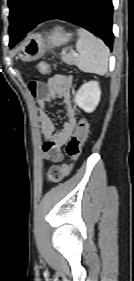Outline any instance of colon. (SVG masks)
<instances>
[{"label":"colon","instance_id":"1","mask_svg":"<svg viewBox=\"0 0 134 281\" xmlns=\"http://www.w3.org/2000/svg\"><path fill=\"white\" fill-rule=\"evenodd\" d=\"M51 65L46 61L38 64V71L42 75L50 72ZM89 133V124L86 119H81L76 127L74 134L66 145V153L71 158V164L52 166L48 172V179L57 183L62 181L72 170L74 163L80 158L85 141Z\"/></svg>","mask_w":134,"mask_h":281}]
</instances>
